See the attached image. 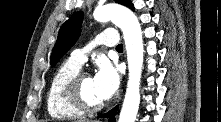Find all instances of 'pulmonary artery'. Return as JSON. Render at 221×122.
Returning <instances> with one entry per match:
<instances>
[{
	"instance_id": "pulmonary-artery-1",
	"label": "pulmonary artery",
	"mask_w": 221,
	"mask_h": 122,
	"mask_svg": "<svg viewBox=\"0 0 221 122\" xmlns=\"http://www.w3.org/2000/svg\"><path fill=\"white\" fill-rule=\"evenodd\" d=\"M94 45H105L108 47H115L118 45V35L113 29H106L98 34L95 38ZM90 47L75 50L72 53L71 60L76 64L82 65L86 61V53L89 51Z\"/></svg>"
}]
</instances>
